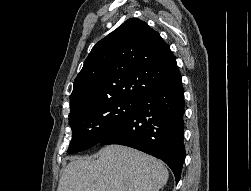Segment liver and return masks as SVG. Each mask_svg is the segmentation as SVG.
Listing matches in <instances>:
<instances>
[{"label": "liver", "mask_w": 251, "mask_h": 191, "mask_svg": "<svg viewBox=\"0 0 251 191\" xmlns=\"http://www.w3.org/2000/svg\"><path fill=\"white\" fill-rule=\"evenodd\" d=\"M68 163L57 191H158L168 179L160 159L125 145H106Z\"/></svg>", "instance_id": "liver-1"}]
</instances>
